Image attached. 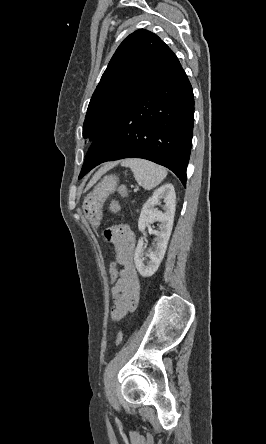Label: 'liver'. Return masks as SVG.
<instances>
[{
  "instance_id": "6515ba94",
  "label": "liver",
  "mask_w": 266,
  "mask_h": 444,
  "mask_svg": "<svg viewBox=\"0 0 266 444\" xmlns=\"http://www.w3.org/2000/svg\"><path fill=\"white\" fill-rule=\"evenodd\" d=\"M117 162L108 163L105 166H103L98 172L94 175L92 180L89 182L87 188H90L105 172H107L109 169L113 168Z\"/></svg>"
}]
</instances>
